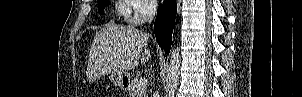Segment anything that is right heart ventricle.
Masks as SVG:
<instances>
[{
	"instance_id": "1",
	"label": "right heart ventricle",
	"mask_w": 302,
	"mask_h": 97,
	"mask_svg": "<svg viewBox=\"0 0 302 97\" xmlns=\"http://www.w3.org/2000/svg\"><path fill=\"white\" fill-rule=\"evenodd\" d=\"M130 10V4L128 3V1L126 0H119V5L117 8V12L123 16V17H127L128 13Z\"/></svg>"
}]
</instances>
